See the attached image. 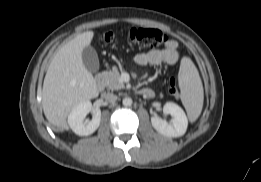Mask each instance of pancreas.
Listing matches in <instances>:
<instances>
[{
	"label": "pancreas",
	"mask_w": 261,
	"mask_h": 182,
	"mask_svg": "<svg viewBox=\"0 0 261 182\" xmlns=\"http://www.w3.org/2000/svg\"><path fill=\"white\" fill-rule=\"evenodd\" d=\"M105 86L110 90H119L125 88L124 83L120 80V73L117 68L112 71H104L101 73Z\"/></svg>",
	"instance_id": "obj_1"
}]
</instances>
